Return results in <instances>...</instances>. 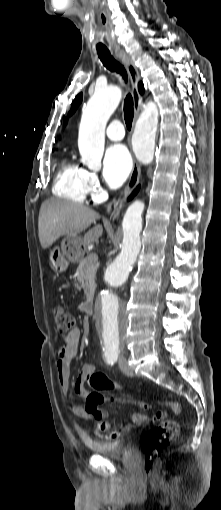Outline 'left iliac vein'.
Listing matches in <instances>:
<instances>
[{
    "instance_id": "1",
    "label": "left iliac vein",
    "mask_w": 221,
    "mask_h": 510,
    "mask_svg": "<svg viewBox=\"0 0 221 510\" xmlns=\"http://www.w3.org/2000/svg\"><path fill=\"white\" fill-rule=\"evenodd\" d=\"M119 367L121 369V371L127 375V376H133V372L132 370L130 369V367L128 366V363H127V360L126 358L124 357H120L119 359Z\"/></svg>"
}]
</instances>
